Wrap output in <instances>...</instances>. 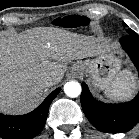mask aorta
Instances as JSON below:
<instances>
[{"mask_svg":"<svg viewBox=\"0 0 139 139\" xmlns=\"http://www.w3.org/2000/svg\"><path fill=\"white\" fill-rule=\"evenodd\" d=\"M82 88L77 81H69L64 85V92L68 97L76 98L81 94Z\"/></svg>","mask_w":139,"mask_h":139,"instance_id":"762f6f07","label":"aorta"}]
</instances>
